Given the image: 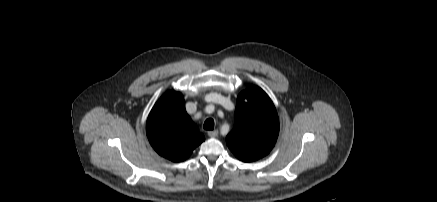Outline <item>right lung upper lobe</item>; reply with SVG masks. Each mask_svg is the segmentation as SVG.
<instances>
[{"label":"right lung upper lobe","instance_id":"obj_1","mask_svg":"<svg viewBox=\"0 0 437 202\" xmlns=\"http://www.w3.org/2000/svg\"><path fill=\"white\" fill-rule=\"evenodd\" d=\"M146 132L154 150L173 162L186 160L205 140L185 110L183 95L174 90L156 102L148 116Z\"/></svg>","mask_w":437,"mask_h":202}]
</instances>
